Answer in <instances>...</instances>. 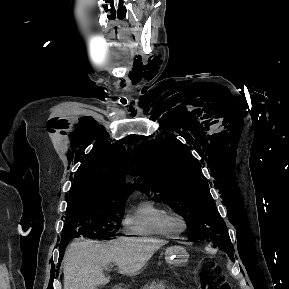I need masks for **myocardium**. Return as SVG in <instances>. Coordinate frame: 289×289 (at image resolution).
Here are the masks:
<instances>
[{
	"mask_svg": "<svg viewBox=\"0 0 289 289\" xmlns=\"http://www.w3.org/2000/svg\"><path fill=\"white\" fill-rule=\"evenodd\" d=\"M167 222L170 227L178 233H182L187 229V222L185 218L177 212L169 211Z\"/></svg>",
	"mask_w": 289,
	"mask_h": 289,
	"instance_id": "myocardium-1",
	"label": "myocardium"
}]
</instances>
